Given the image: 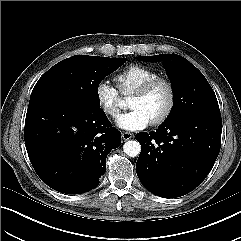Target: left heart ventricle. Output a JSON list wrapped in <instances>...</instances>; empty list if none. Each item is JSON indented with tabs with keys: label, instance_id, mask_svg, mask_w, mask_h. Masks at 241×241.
<instances>
[{
	"label": "left heart ventricle",
	"instance_id": "left-heart-ventricle-1",
	"mask_svg": "<svg viewBox=\"0 0 241 241\" xmlns=\"http://www.w3.org/2000/svg\"><path fill=\"white\" fill-rule=\"evenodd\" d=\"M167 103L168 91L165 86L159 85L144 97L133 95L129 108L141 110L151 121L164 111Z\"/></svg>",
	"mask_w": 241,
	"mask_h": 241
}]
</instances>
